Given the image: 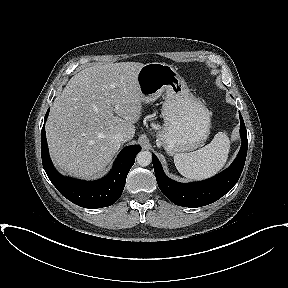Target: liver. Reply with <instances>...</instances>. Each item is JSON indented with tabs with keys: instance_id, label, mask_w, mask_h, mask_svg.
I'll return each instance as SVG.
<instances>
[{
	"instance_id": "6515ba94",
	"label": "liver",
	"mask_w": 288,
	"mask_h": 288,
	"mask_svg": "<svg viewBox=\"0 0 288 288\" xmlns=\"http://www.w3.org/2000/svg\"><path fill=\"white\" fill-rule=\"evenodd\" d=\"M139 62L88 67L57 95L46 123L50 156L60 172L89 178L102 172L118 152L122 133L134 137L142 113L137 83Z\"/></svg>"
}]
</instances>
